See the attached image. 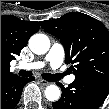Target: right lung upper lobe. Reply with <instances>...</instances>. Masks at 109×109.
I'll list each match as a JSON object with an SVG mask.
<instances>
[{
  "label": "right lung upper lobe",
  "instance_id": "cb5924a9",
  "mask_svg": "<svg viewBox=\"0 0 109 109\" xmlns=\"http://www.w3.org/2000/svg\"><path fill=\"white\" fill-rule=\"evenodd\" d=\"M39 27L35 21L20 20L12 15L1 16V79L14 75L9 69L11 60L20 54Z\"/></svg>",
  "mask_w": 109,
  "mask_h": 109
}]
</instances>
